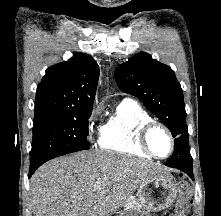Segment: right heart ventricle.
I'll use <instances>...</instances> for the list:
<instances>
[{
  "label": "right heart ventricle",
  "mask_w": 221,
  "mask_h": 216,
  "mask_svg": "<svg viewBox=\"0 0 221 216\" xmlns=\"http://www.w3.org/2000/svg\"><path fill=\"white\" fill-rule=\"evenodd\" d=\"M150 113L132 99L118 104L100 130L99 147L102 150L139 157H149L137 143L139 128L152 121Z\"/></svg>",
  "instance_id": "1"
}]
</instances>
